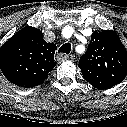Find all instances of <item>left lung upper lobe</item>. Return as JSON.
<instances>
[{"label": "left lung upper lobe", "instance_id": "obj_1", "mask_svg": "<svg viewBox=\"0 0 127 127\" xmlns=\"http://www.w3.org/2000/svg\"><path fill=\"white\" fill-rule=\"evenodd\" d=\"M78 66L95 88L109 89L119 84L127 75V52L117 33L94 32Z\"/></svg>", "mask_w": 127, "mask_h": 127}]
</instances>
